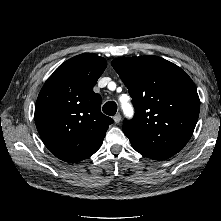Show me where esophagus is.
<instances>
[{
    "instance_id": "34e87169",
    "label": "esophagus",
    "mask_w": 221,
    "mask_h": 221,
    "mask_svg": "<svg viewBox=\"0 0 221 221\" xmlns=\"http://www.w3.org/2000/svg\"><path fill=\"white\" fill-rule=\"evenodd\" d=\"M115 123H119L121 121V115L118 113L114 116Z\"/></svg>"
}]
</instances>
